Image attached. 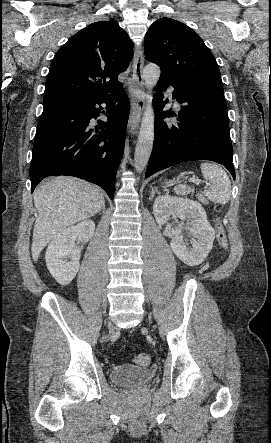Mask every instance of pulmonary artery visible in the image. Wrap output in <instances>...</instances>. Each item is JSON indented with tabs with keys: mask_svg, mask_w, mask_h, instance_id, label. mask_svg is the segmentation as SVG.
<instances>
[{
	"mask_svg": "<svg viewBox=\"0 0 271 443\" xmlns=\"http://www.w3.org/2000/svg\"><path fill=\"white\" fill-rule=\"evenodd\" d=\"M168 96L170 97L171 101H173V105L175 108H179L178 101L173 97V93L171 90L168 91Z\"/></svg>",
	"mask_w": 271,
	"mask_h": 443,
	"instance_id": "obj_1",
	"label": "pulmonary artery"
}]
</instances>
